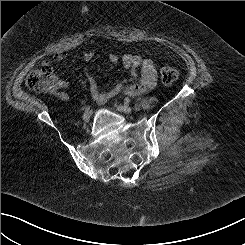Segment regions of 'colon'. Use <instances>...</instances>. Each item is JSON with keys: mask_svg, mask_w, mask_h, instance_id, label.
Listing matches in <instances>:
<instances>
[{"mask_svg": "<svg viewBox=\"0 0 245 245\" xmlns=\"http://www.w3.org/2000/svg\"><path fill=\"white\" fill-rule=\"evenodd\" d=\"M178 71L172 67H163L160 78L163 84L171 85L178 79ZM26 85L37 93H53L55 90V74L50 64H43L32 71L26 78Z\"/></svg>", "mask_w": 245, "mask_h": 245, "instance_id": "colon-1", "label": "colon"}]
</instances>
